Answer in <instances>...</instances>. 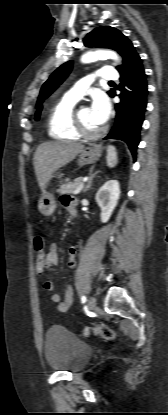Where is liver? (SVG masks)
<instances>
[{"label": "liver", "mask_w": 168, "mask_h": 415, "mask_svg": "<svg viewBox=\"0 0 168 415\" xmlns=\"http://www.w3.org/2000/svg\"><path fill=\"white\" fill-rule=\"evenodd\" d=\"M84 148L81 143L56 141L42 143L36 149L33 158L35 174L43 191L60 167L71 162Z\"/></svg>", "instance_id": "1"}]
</instances>
